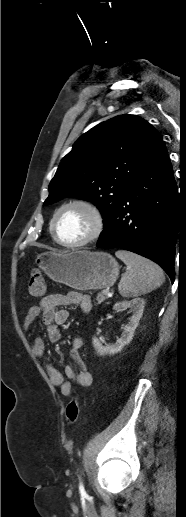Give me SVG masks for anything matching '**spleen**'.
I'll use <instances>...</instances> for the list:
<instances>
[{"instance_id": "spleen-1", "label": "spleen", "mask_w": 186, "mask_h": 517, "mask_svg": "<svg viewBox=\"0 0 186 517\" xmlns=\"http://www.w3.org/2000/svg\"><path fill=\"white\" fill-rule=\"evenodd\" d=\"M115 255L127 266L118 290L126 298L147 294L165 281L162 269L152 261L132 252L118 250Z\"/></svg>"}]
</instances>
